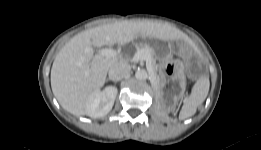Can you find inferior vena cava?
<instances>
[{
  "mask_svg": "<svg viewBox=\"0 0 261 150\" xmlns=\"http://www.w3.org/2000/svg\"><path fill=\"white\" fill-rule=\"evenodd\" d=\"M131 72V67L126 62H119L109 70V79L112 81H120L128 76Z\"/></svg>",
  "mask_w": 261,
  "mask_h": 150,
  "instance_id": "1",
  "label": "inferior vena cava"
}]
</instances>
